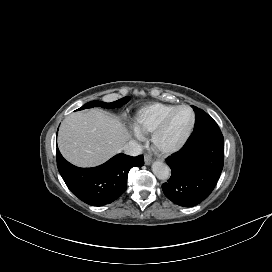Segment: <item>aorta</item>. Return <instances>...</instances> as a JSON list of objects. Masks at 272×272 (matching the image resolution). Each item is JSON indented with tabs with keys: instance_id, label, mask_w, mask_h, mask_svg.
<instances>
[{
	"instance_id": "obj_1",
	"label": "aorta",
	"mask_w": 272,
	"mask_h": 272,
	"mask_svg": "<svg viewBox=\"0 0 272 272\" xmlns=\"http://www.w3.org/2000/svg\"><path fill=\"white\" fill-rule=\"evenodd\" d=\"M152 171L160 180H167L171 173L169 166L166 163L159 161L152 164Z\"/></svg>"
}]
</instances>
